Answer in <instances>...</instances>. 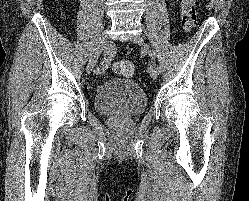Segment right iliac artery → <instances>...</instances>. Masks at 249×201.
<instances>
[{"instance_id": "right-iliac-artery-1", "label": "right iliac artery", "mask_w": 249, "mask_h": 201, "mask_svg": "<svg viewBox=\"0 0 249 201\" xmlns=\"http://www.w3.org/2000/svg\"><path fill=\"white\" fill-rule=\"evenodd\" d=\"M110 61H111L110 51L106 50L104 52V60L102 61L101 65L96 69V73L100 74V73L105 72V70L110 65Z\"/></svg>"}]
</instances>
